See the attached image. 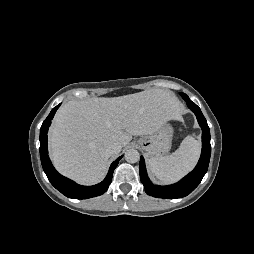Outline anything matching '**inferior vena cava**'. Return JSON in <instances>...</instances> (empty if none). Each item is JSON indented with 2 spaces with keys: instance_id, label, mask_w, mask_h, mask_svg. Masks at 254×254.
Instances as JSON below:
<instances>
[{
  "instance_id": "inferior-vena-cava-1",
  "label": "inferior vena cava",
  "mask_w": 254,
  "mask_h": 254,
  "mask_svg": "<svg viewBox=\"0 0 254 254\" xmlns=\"http://www.w3.org/2000/svg\"><path fill=\"white\" fill-rule=\"evenodd\" d=\"M121 151V145H119L118 143H113L110 144L107 148H106V153L108 156H113L118 154Z\"/></svg>"
}]
</instances>
